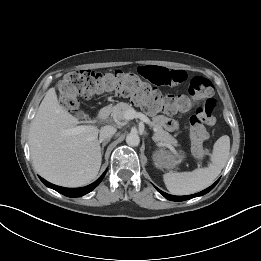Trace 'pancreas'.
Instances as JSON below:
<instances>
[{"instance_id": "obj_1", "label": "pancreas", "mask_w": 261, "mask_h": 261, "mask_svg": "<svg viewBox=\"0 0 261 261\" xmlns=\"http://www.w3.org/2000/svg\"><path fill=\"white\" fill-rule=\"evenodd\" d=\"M130 109H132L131 105L124 102H119L115 106L110 107L111 116L117 120H124V113ZM150 126L153 127L155 132L153 136V140L155 142H161L165 145H177L176 139L165 131L160 124L153 121L150 123Z\"/></svg>"}]
</instances>
